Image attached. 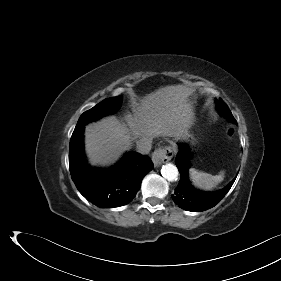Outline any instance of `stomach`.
<instances>
[{
	"instance_id": "stomach-1",
	"label": "stomach",
	"mask_w": 281,
	"mask_h": 281,
	"mask_svg": "<svg viewBox=\"0 0 281 281\" xmlns=\"http://www.w3.org/2000/svg\"><path fill=\"white\" fill-rule=\"evenodd\" d=\"M190 138L193 139L192 136L188 133L187 130H184V131L180 134V136L176 137V139H183V140H185V141H187V142L190 141V142L193 144V141L190 140ZM173 147H174V146H173Z\"/></svg>"
}]
</instances>
